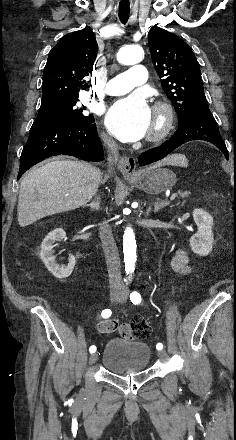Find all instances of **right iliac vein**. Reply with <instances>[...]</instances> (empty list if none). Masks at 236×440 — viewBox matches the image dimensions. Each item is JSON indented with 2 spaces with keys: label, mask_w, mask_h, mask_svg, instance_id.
<instances>
[{
  "label": "right iliac vein",
  "mask_w": 236,
  "mask_h": 440,
  "mask_svg": "<svg viewBox=\"0 0 236 440\" xmlns=\"http://www.w3.org/2000/svg\"><path fill=\"white\" fill-rule=\"evenodd\" d=\"M120 297H121L120 292L113 291L110 293V299L112 302H116ZM97 359H98V354L93 353L89 358V363L92 365L97 361Z\"/></svg>",
  "instance_id": "obj_1"
}]
</instances>
